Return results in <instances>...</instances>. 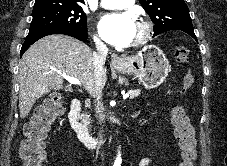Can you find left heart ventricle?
Returning a JSON list of instances; mask_svg holds the SVG:
<instances>
[{
    "mask_svg": "<svg viewBox=\"0 0 227 166\" xmlns=\"http://www.w3.org/2000/svg\"><path fill=\"white\" fill-rule=\"evenodd\" d=\"M139 35H140V26L139 24H137L133 40L135 41L139 37Z\"/></svg>",
    "mask_w": 227,
    "mask_h": 166,
    "instance_id": "b2bd125f",
    "label": "left heart ventricle"
}]
</instances>
